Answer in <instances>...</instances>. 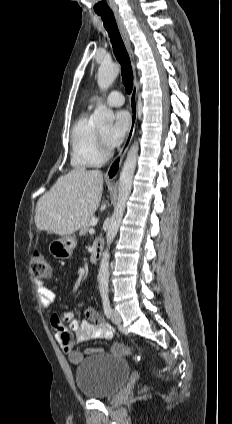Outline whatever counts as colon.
Returning a JSON list of instances; mask_svg holds the SVG:
<instances>
[{
    "instance_id": "5ec220e1",
    "label": "colon",
    "mask_w": 232,
    "mask_h": 424,
    "mask_svg": "<svg viewBox=\"0 0 232 424\" xmlns=\"http://www.w3.org/2000/svg\"><path fill=\"white\" fill-rule=\"evenodd\" d=\"M31 270L33 275L39 279L48 280L53 275L52 266L40 250H35L32 253ZM120 346L125 355H132L130 346L123 339H118L117 343H115V348H120ZM141 391H146V388H143Z\"/></svg>"
}]
</instances>
